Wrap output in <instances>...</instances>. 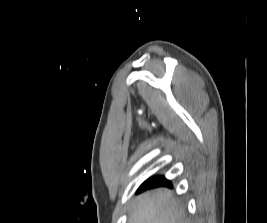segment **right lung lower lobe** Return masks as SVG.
Masks as SVG:
<instances>
[{"instance_id":"obj_1","label":"right lung lower lobe","mask_w":267,"mask_h":223,"mask_svg":"<svg viewBox=\"0 0 267 223\" xmlns=\"http://www.w3.org/2000/svg\"><path fill=\"white\" fill-rule=\"evenodd\" d=\"M171 186V183L166 180L164 177H153L146 182H144L141 187L139 188V191H142L144 189L153 188L157 186Z\"/></svg>"}]
</instances>
